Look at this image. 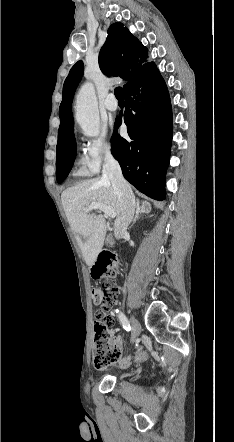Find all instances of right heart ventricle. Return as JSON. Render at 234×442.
Returning a JSON list of instances; mask_svg holds the SVG:
<instances>
[{
	"label": "right heart ventricle",
	"instance_id": "right-heart-ventricle-1",
	"mask_svg": "<svg viewBox=\"0 0 234 442\" xmlns=\"http://www.w3.org/2000/svg\"><path fill=\"white\" fill-rule=\"evenodd\" d=\"M94 172L90 169L85 157L80 156L76 162L73 170V175L76 177H84L93 174Z\"/></svg>",
	"mask_w": 234,
	"mask_h": 442
}]
</instances>
